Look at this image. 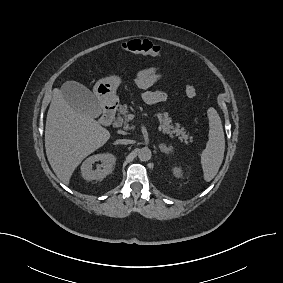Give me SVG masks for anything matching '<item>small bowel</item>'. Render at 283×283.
Returning <instances> with one entry per match:
<instances>
[{
  "label": "small bowel",
  "instance_id": "1",
  "mask_svg": "<svg viewBox=\"0 0 283 283\" xmlns=\"http://www.w3.org/2000/svg\"><path fill=\"white\" fill-rule=\"evenodd\" d=\"M165 77V73L159 67H149L136 73L134 82L138 88L144 90L142 98L145 103L151 105L164 102L167 99L165 92L149 90L151 86Z\"/></svg>",
  "mask_w": 283,
  "mask_h": 283
}]
</instances>
